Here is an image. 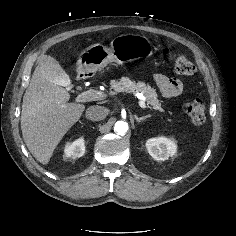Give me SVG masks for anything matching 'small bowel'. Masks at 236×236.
Wrapping results in <instances>:
<instances>
[{
	"label": "small bowel",
	"mask_w": 236,
	"mask_h": 236,
	"mask_svg": "<svg viewBox=\"0 0 236 236\" xmlns=\"http://www.w3.org/2000/svg\"><path fill=\"white\" fill-rule=\"evenodd\" d=\"M154 81L162 95L166 98H174L182 93L183 86L180 81L169 78L163 74H156Z\"/></svg>",
	"instance_id": "1"
}]
</instances>
